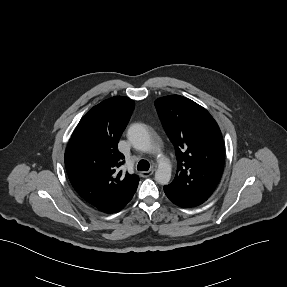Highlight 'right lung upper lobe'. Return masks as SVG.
<instances>
[{"instance_id":"obj_1","label":"right lung upper lobe","mask_w":287,"mask_h":287,"mask_svg":"<svg viewBox=\"0 0 287 287\" xmlns=\"http://www.w3.org/2000/svg\"><path fill=\"white\" fill-rule=\"evenodd\" d=\"M134 101L116 96L94 106L79 122L65 152V166L76 192L98 206L137 189L138 176L122 173L124 155L117 150Z\"/></svg>"}]
</instances>
